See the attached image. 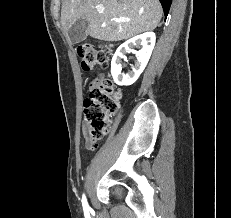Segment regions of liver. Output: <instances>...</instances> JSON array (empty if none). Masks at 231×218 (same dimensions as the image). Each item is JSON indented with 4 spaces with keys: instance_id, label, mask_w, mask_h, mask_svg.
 I'll list each match as a JSON object with an SVG mask.
<instances>
[{
    "instance_id": "1",
    "label": "liver",
    "mask_w": 231,
    "mask_h": 218,
    "mask_svg": "<svg viewBox=\"0 0 231 218\" xmlns=\"http://www.w3.org/2000/svg\"><path fill=\"white\" fill-rule=\"evenodd\" d=\"M104 7L99 12L96 6ZM158 0H64L61 22L65 31L78 20L88 21L86 34L102 41H120L153 30L162 17ZM113 18H128L114 22Z\"/></svg>"
}]
</instances>
